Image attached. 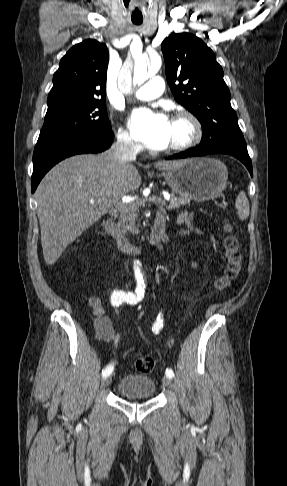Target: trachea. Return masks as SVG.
Listing matches in <instances>:
<instances>
[{
	"label": "trachea",
	"instance_id": "obj_1",
	"mask_svg": "<svg viewBox=\"0 0 287 486\" xmlns=\"http://www.w3.org/2000/svg\"><path fill=\"white\" fill-rule=\"evenodd\" d=\"M133 23L139 25L142 23V21H134Z\"/></svg>",
	"mask_w": 287,
	"mask_h": 486
}]
</instances>
